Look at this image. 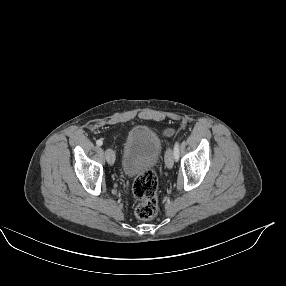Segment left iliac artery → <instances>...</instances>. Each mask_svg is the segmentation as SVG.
<instances>
[{
    "instance_id": "obj_1",
    "label": "left iliac artery",
    "mask_w": 286,
    "mask_h": 286,
    "mask_svg": "<svg viewBox=\"0 0 286 286\" xmlns=\"http://www.w3.org/2000/svg\"><path fill=\"white\" fill-rule=\"evenodd\" d=\"M174 158L175 160L179 159V141H176L174 145Z\"/></svg>"
}]
</instances>
